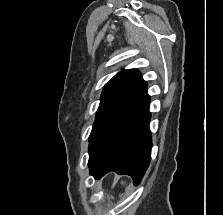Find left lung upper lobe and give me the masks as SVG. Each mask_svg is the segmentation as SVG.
<instances>
[{"mask_svg": "<svg viewBox=\"0 0 223 215\" xmlns=\"http://www.w3.org/2000/svg\"><path fill=\"white\" fill-rule=\"evenodd\" d=\"M147 94V83L136 69L117 73L104 87L89 136V161L114 126Z\"/></svg>", "mask_w": 223, "mask_h": 215, "instance_id": "5c2ea615", "label": "left lung upper lobe"}]
</instances>
